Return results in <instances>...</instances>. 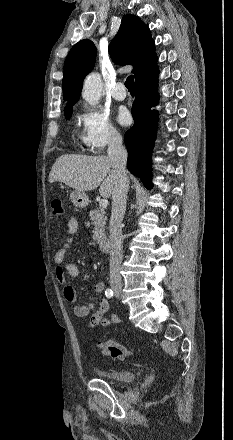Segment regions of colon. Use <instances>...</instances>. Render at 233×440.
Masks as SVG:
<instances>
[{
	"label": "colon",
	"instance_id": "colon-1",
	"mask_svg": "<svg viewBox=\"0 0 233 440\" xmlns=\"http://www.w3.org/2000/svg\"><path fill=\"white\" fill-rule=\"evenodd\" d=\"M51 207L54 216H61L64 212L61 200H53ZM97 346L105 356L113 359L126 360L133 355L131 349L111 339L100 340Z\"/></svg>",
	"mask_w": 233,
	"mask_h": 440
}]
</instances>
